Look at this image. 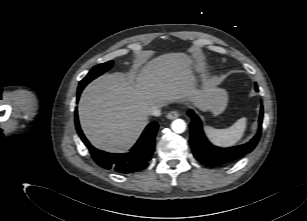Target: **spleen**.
Masks as SVG:
<instances>
[{
  "label": "spleen",
  "instance_id": "obj_1",
  "mask_svg": "<svg viewBox=\"0 0 307 221\" xmlns=\"http://www.w3.org/2000/svg\"><path fill=\"white\" fill-rule=\"evenodd\" d=\"M246 124L247 119L243 117L228 128L215 129L210 126H206L204 131L213 144L228 147L236 144L242 138L246 130Z\"/></svg>",
  "mask_w": 307,
  "mask_h": 221
}]
</instances>
